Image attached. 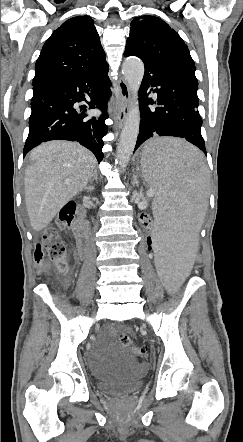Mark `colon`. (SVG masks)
<instances>
[{
  "label": "colon",
  "mask_w": 243,
  "mask_h": 442,
  "mask_svg": "<svg viewBox=\"0 0 243 442\" xmlns=\"http://www.w3.org/2000/svg\"><path fill=\"white\" fill-rule=\"evenodd\" d=\"M75 210V204L70 202L64 204L59 212L57 226L60 228H69L74 221ZM136 222L137 224L144 226V234L142 235L144 241L143 251L144 253L149 254L151 253L152 248L155 246L152 236L156 234V231L152 229L151 225H155L157 223V218L155 216H148L147 218L139 216L137 217ZM46 256L57 264L60 273H66L67 247L58 230L54 227H49L45 230L42 242L38 243L35 247L34 261L38 267L45 268L47 266ZM191 256L193 257V260L197 262L195 268L200 270L202 268L201 262L204 261V256L198 254L196 251H193ZM119 340L123 346L131 348L138 357L142 358L144 364H152L153 359L152 357L147 356V349L145 346H135L130 336L126 333H121Z\"/></svg>",
  "instance_id": "5ec220e1"
}]
</instances>
